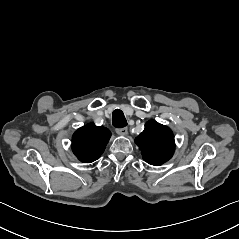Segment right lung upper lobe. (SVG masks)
Masks as SVG:
<instances>
[{
	"label": "right lung upper lobe",
	"mask_w": 239,
	"mask_h": 239,
	"mask_svg": "<svg viewBox=\"0 0 239 239\" xmlns=\"http://www.w3.org/2000/svg\"><path fill=\"white\" fill-rule=\"evenodd\" d=\"M110 137L111 132L108 128L89 123L73 134V153L81 162L91 163L102 155Z\"/></svg>",
	"instance_id": "cb5924a9"
}]
</instances>
